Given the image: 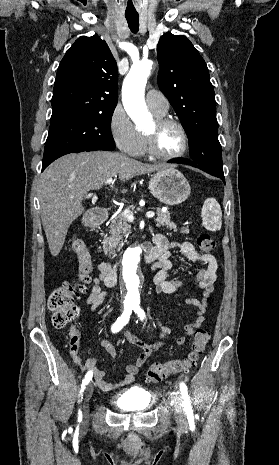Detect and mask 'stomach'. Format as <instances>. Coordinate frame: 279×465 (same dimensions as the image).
Wrapping results in <instances>:
<instances>
[{
	"mask_svg": "<svg viewBox=\"0 0 279 465\" xmlns=\"http://www.w3.org/2000/svg\"><path fill=\"white\" fill-rule=\"evenodd\" d=\"M149 190L160 202L173 206L184 202L190 195V185L185 176L173 167L157 171L149 181Z\"/></svg>",
	"mask_w": 279,
	"mask_h": 465,
	"instance_id": "stomach-1",
	"label": "stomach"
}]
</instances>
